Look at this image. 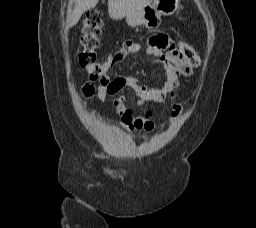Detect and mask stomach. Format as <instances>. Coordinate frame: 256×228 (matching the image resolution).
<instances>
[{
  "instance_id": "0dacf381",
  "label": "stomach",
  "mask_w": 256,
  "mask_h": 228,
  "mask_svg": "<svg viewBox=\"0 0 256 228\" xmlns=\"http://www.w3.org/2000/svg\"><path fill=\"white\" fill-rule=\"evenodd\" d=\"M179 7V0H152L149 4L126 16L131 27L145 26L148 29L158 28L161 16L172 15Z\"/></svg>"
}]
</instances>
